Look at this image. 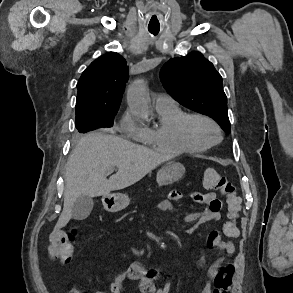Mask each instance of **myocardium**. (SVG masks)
I'll use <instances>...</instances> for the list:
<instances>
[{"label": "myocardium", "mask_w": 293, "mask_h": 293, "mask_svg": "<svg viewBox=\"0 0 293 293\" xmlns=\"http://www.w3.org/2000/svg\"><path fill=\"white\" fill-rule=\"evenodd\" d=\"M194 120H203L208 122L212 127L215 129L217 133V138L214 141H211L209 143L201 144L196 142L190 132L191 123ZM180 133L183 138V140L189 144L191 147L197 149L198 151L206 150L213 145L217 144L222 139V130L219 126V124L210 116L203 114V113H190L186 114V116L183 118L180 124Z\"/></svg>", "instance_id": "obj_1"}]
</instances>
